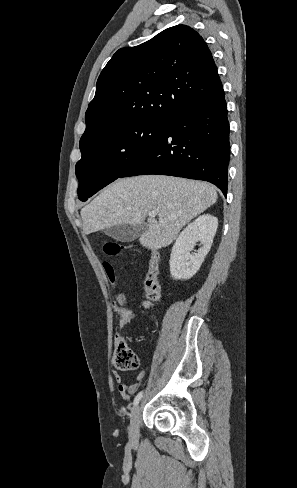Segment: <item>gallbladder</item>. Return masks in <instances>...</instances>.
Segmentation results:
<instances>
[{"instance_id":"obj_1","label":"gallbladder","mask_w":297,"mask_h":488,"mask_svg":"<svg viewBox=\"0 0 297 488\" xmlns=\"http://www.w3.org/2000/svg\"><path fill=\"white\" fill-rule=\"evenodd\" d=\"M146 230V224H121L106 228L104 233L118 242H131Z\"/></svg>"}]
</instances>
